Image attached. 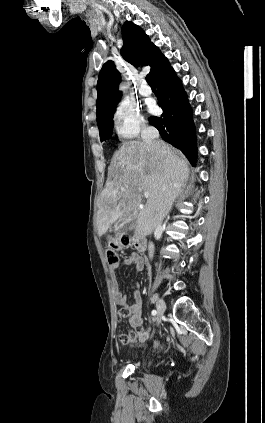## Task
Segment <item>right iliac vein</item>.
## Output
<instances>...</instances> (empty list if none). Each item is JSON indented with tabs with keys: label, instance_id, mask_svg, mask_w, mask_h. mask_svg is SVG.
Returning a JSON list of instances; mask_svg holds the SVG:
<instances>
[{
	"label": "right iliac vein",
	"instance_id": "obj_1",
	"mask_svg": "<svg viewBox=\"0 0 265 423\" xmlns=\"http://www.w3.org/2000/svg\"><path fill=\"white\" fill-rule=\"evenodd\" d=\"M156 306H157V313H158V322H160L162 316L165 313L166 305H165V302L162 299H159L157 301ZM142 342H143V340H142Z\"/></svg>",
	"mask_w": 265,
	"mask_h": 423
}]
</instances>
